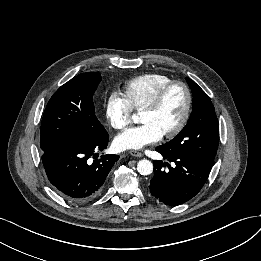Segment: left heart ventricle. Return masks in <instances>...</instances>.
<instances>
[{
	"label": "left heart ventricle",
	"mask_w": 261,
	"mask_h": 261,
	"mask_svg": "<svg viewBox=\"0 0 261 261\" xmlns=\"http://www.w3.org/2000/svg\"><path fill=\"white\" fill-rule=\"evenodd\" d=\"M186 104V95L181 87L173 88L157 112L143 111L142 123L154 125L162 134L172 130L182 117Z\"/></svg>",
	"instance_id": "left-heart-ventricle-1"
}]
</instances>
